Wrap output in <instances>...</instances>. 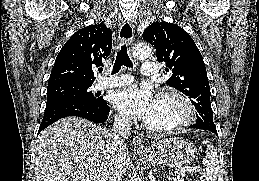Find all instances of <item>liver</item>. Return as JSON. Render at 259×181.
Listing matches in <instances>:
<instances>
[{
	"instance_id": "obj_1",
	"label": "liver",
	"mask_w": 259,
	"mask_h": 181,
	"mask_svg": "<svg viewBox=\"0 0 259 181\" xmlns=\"http://www.w3.org/2000/svg\"><path fill=\"white\" fill-rule=\"evenodd\" d=\"M114 136L78 117L57 121L37 139L35 181H107ZM127 147L121 153L123 172L130 164Z\"/></svg>"
}]
</instances>
